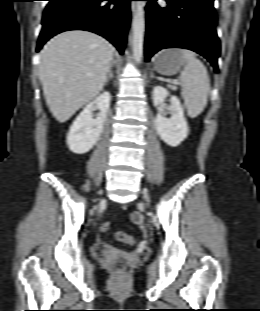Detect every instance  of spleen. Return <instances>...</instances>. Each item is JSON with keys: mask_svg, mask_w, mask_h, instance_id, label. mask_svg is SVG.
<instances>
[{"mask_svg": "<svg viewBox=\"0 0 260 311\" xmlns=\"http://www.w3.org/2000/svg\"><path fill=\"white\" fill-rule=\"evenodd\" d=\"M181 54L185 62L184 69L179 76L182 86L181 94L188 115L195 118L207 105L210 81L206 67L196 58L194 52L183 49Z\"/></svg>", "mask_w": 260, "mask_h": 311, "instance_id": "3e777b00", "label": "spleen"}]
</instances>
